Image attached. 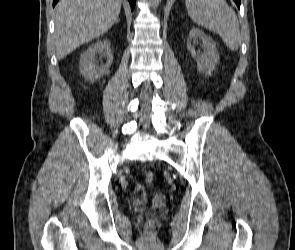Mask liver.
Returning <instances> with one entry per match:
<instances>
[{"mask_svg":"<svg viewBox=\"0 0 295 250\" xmlns=\"http://www.w3.org/2000/svg\"><path fill=\"white\" fill-rule=\"evenodd\" d=\"M120 10L121 0H60L55 7L57 57L108 32Z\"/></svg>","mask_w":295,"mask_h":250,"instance_id":"liver-1","label":"liver"}]
</instances>
